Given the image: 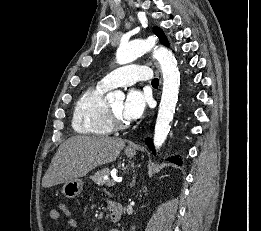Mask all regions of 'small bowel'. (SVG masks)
<instances>
[{
	"instance_id": "1",
	"label": "small bowel",
	"mask_w": 261,
	"mask_h": 231,
	"mask_svg": "<svg viewBox=\"0 0 261 231\" xmlns=\"http://www.w3.org/2000/svg\"><path fill=\"white\" fill-rule=\"evenodd\" d=\"M65 207H66V206L63 205V204H58L57 206H55L54 208H52V209L50 210V212H49L50 218H51L52 220L57 221V220H59V219L62 217V215L64 214V215L67 217V219H66L67 225H68L70 228H75V227H77V222H76L74 219L70 218V216H69V211L67 210L66 213H63L62 210H63V208H65ZM109 231H119V230H118V229H111V230H109Z\"/></svg>"
}]
</instances>
